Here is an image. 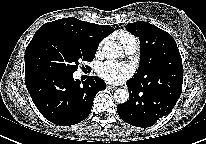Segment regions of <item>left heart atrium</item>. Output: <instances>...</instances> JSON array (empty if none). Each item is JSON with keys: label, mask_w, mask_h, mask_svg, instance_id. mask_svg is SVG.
<instances>
[{"label": "left heart atrium", "mask_w": 206, "mask_h": 144, "mask_svg": "<svg viewBox=\"0 0 206 144\" xmlns=\"http://www.w3.org/2000/svg\"><path fill=\"white\" fill-rule=\"evenodd\" d=\"M99 76L110 84H119L132 75V68L115 61H106L98 67Z\"/></svg>", "instance_id": "obj_1"}]
</instances>
